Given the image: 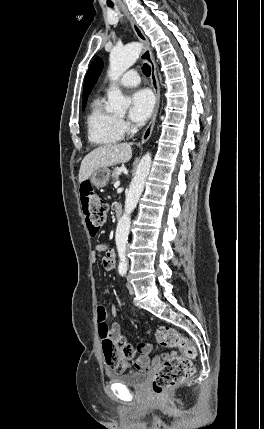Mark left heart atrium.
I'll use <instances>...</instances> for the list:
<instances>
[{"mask_svg":"<svg viewBox=\"0 0 264 429\" xmlns=\"http://www.w3.org/2000/svg\"><path fill=\"white\" fill-rule=\"evenodd\" d=\"M154 108V98L146 89L136 91L131 97L129 118L135 124L145 122Z\"/></svg>","mask_w":264,"mask_h":429,"instance_id":"obj_1","label":"left heart atrium"}]
</instances>
